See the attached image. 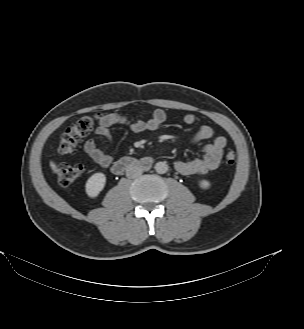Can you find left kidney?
Masks as SVG:
<instances>
[{
	"instance_id": "1",
	"label": "left kidney",
	"mask_w": 304,
	"mask_h": 329,
	"mask_svg": "<svg viewBox=\"0 0 304 329\" xmlns=\"http://www.w3.org/2000/svg\"><path fill=\"white\" fill-rule=\"evenodd\" d=\"M199 186L202 189H208L210 187V182L208 180H201L199 181Z\"/></svg>"
}]
</instances>
